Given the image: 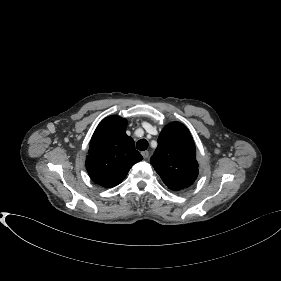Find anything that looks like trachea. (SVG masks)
<instances>
[{
	"instance_id": "3493384b",
	"label": "trachea",
	"mask_w": 281,
	"mask_h": 281,
	"mask_svg": "<svg viewBox=\"0 0 281 281\" xmlns=\"http://www.w3.org/2000/svg\"><path fill=\"white\" fill-rule=\"evenodd\" d=\"M136 147L138 150L144 151L148 148V141L146 139H140L137 142Z\"/></svg>"
}]
</instances>
